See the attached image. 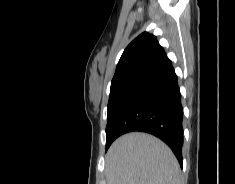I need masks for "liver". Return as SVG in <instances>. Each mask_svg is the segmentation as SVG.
<instances>
[{
	"label": "liver",
	"instance_id": "liver-1",
	"mask_svg": "<svg viewBox=\"0 0 235 184\" xmlns=\"http://www.w3.org/2000/svg\"><path fill=\"white\" fill-rule=\"evenodd\" d=\"M105 160L107 184H181L173 152L150 134L121 136L110 146Z\"/></svg>",
	"mask_w": 235,
	"mask_h": 184
}]
</instances>
